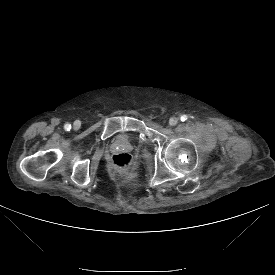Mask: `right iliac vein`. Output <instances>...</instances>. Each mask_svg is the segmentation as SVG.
<instances>
[{
	"label": "right iliac vein",
	"mask_w": 275,
	"mask_h": 275,
	"mask_svg": "<svg viewBox=\"0 0 275 275\" xmlns=\"http://www.w3.org/2000/svg\"><path fill=\"white\" fill-rule=\"evenodd\" d=\"M80 127V122L79 121H75L74 122V129H78Z\"/></svg>",
	"instance_id": "1"
}]
</instances>
